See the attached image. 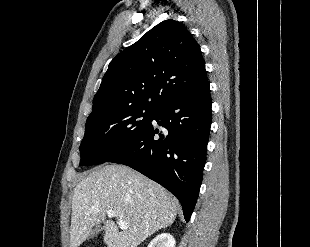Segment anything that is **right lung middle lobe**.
Segmentation results:
<instances>
[{
  "label": "right lung middle lobe",
  "instance_id": "right-lung-middle-lobe-1",
  "mask_svg": "<svg viewBox=\"0 0 310 247\" xmlns=\"http://www.w3.org/2000/svg\"><path fill=\"white\" fill-rule=\"evenodd\" d=\"M155 112L153 109L129 108L88 120L80 145V165L108 162L131 146L150 123Z\"/></svg>",
  "mask_w": 310,
  "mask_h": 247
}]
</instances>
